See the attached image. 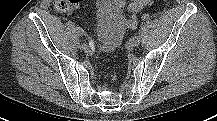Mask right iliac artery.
<instances>
[{
	"instance_id": "1",
	"label": "right iliac artery",
	"mask_w": 217,
	"mask_h": 121,
	"mask_svg": "<svg viewBox=\"0 0 217 121\" xmlns=\"http://www.w3.org/2000/svg\"><path fill=\"white\" fill-rule=\"evenodd\" d=\"M76 34L83 38L84 31L81 28L77 27L76 28Z\"/></svg>"
}]
</instances>
